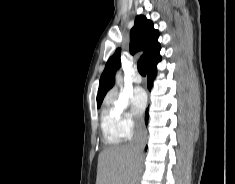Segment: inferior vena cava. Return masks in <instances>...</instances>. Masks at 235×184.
Returning <instances> with one entry per match:
<instances>
[{
    "label": "inferior vena cava",
    "mask_w": 235,
    "mask_h": 184,
    "mask_svg": "<svg viewBox=\"0 0 235 184\" xmlns=\"http://www.w3.org/2000/svg\"><path fill=\"white\" fill-rule=\"evenodd\" d=\"M146 144H147V132H146L144 120H142V118H136L134 136H133V140L130 146L134 154H136V156H140Z\"/></svg>",
    "instance_id": "602c4592"
}]
</instances>
